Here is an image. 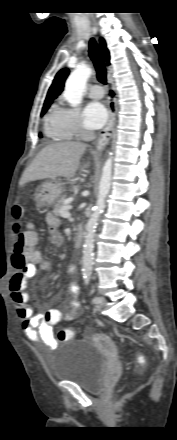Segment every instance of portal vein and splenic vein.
Instances as JSON below:
<instances>
[{"label": "portal vein and splenic vein", "instance_id": "portal-vein-and-splenic-vein-1", "mask_svg": "<svg viewBox=\"0 0 177 440\" xmlns=\"http://www.w3.org/2000/svg\"><path fill=\"white\" fill-rule=\"evenodd\" d=\"M70 208L71 207L69 205L63 206L60 210V216L63 218H69L71 216L69 213Z\"/></svg>", "mask_w": 177, "mask_h": 440}]
</instances>
